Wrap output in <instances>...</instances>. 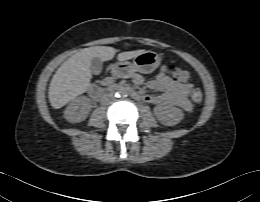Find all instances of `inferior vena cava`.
<instances>
[{
  "label": "inferior vena cava",
  "mask_w": 260,
  "mask_h": 202,
  "mask_svg": "<svg viewBox=\"0 0 260 202\" xmlns=\"http://www.w3.org/2000/svg\"><path fill=\"white\" fill-rule=\"evenodd\" d=\"M114 101V95L112 93H107V94H104L101 98V103L103 105H107V104H110L111 102Z\"/></svg>",
  "instance_id": "602c4592"
}]
</instances>
